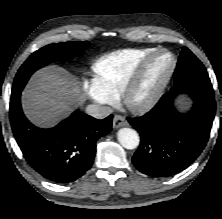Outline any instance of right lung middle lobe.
<instances>
[{
	"mask_svg": "<svg viewBox=\"0 0 222 219\" xmlns=\"http://www.w3.org/2000/svg\"><path fill=\"white\" fill-rule=\"evenodd\" d=\"M88 41L65 42L47 45L34 52L20 67L12 88V94L21 93L30 76L50 62L77 55L89 46Z\"/></svg>",
	"mask_w": 222,
	"mask_h": 219,
	"instance_id": "1",
	"label": "right lung middle lobe"
}]
</instances>
